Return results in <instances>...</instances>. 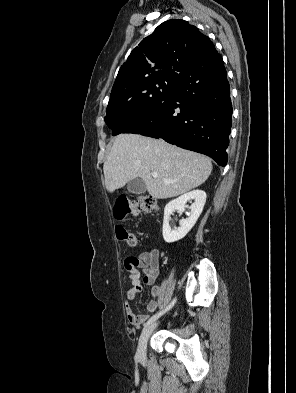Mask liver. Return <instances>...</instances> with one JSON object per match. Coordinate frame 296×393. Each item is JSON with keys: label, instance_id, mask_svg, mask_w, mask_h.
Here are the masks:
<instances>
[{"label": "liver", "instance_id": "obj_1", "mask_svg": "<svg viewBox=\"0 0 296 393\" xmlns=\"http://www.w3.org/2000/svg\"><path fill=\"white\" fill-rule=\"evenodd\" d=\"M103 171L105 187L110 193L135 178H141L153 198L167 199L203 184L212 172V163L199 153L181 149L162 139L120 134L113 142ZM153 172L158 174L157 178L152 177Z\"/></svg>", "mask_w": 296, "mask_h": 393}]
</instances>
